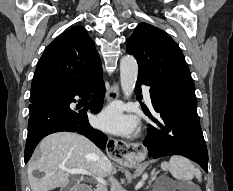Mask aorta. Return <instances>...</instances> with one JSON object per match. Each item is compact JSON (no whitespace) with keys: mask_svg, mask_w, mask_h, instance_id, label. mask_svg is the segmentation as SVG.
Wrapping results in <instances>:
<instances>
[{"mask_svg":"<svg viewBox=\"0 0 233 191\" xmlns=\"http://www.w3.org/2000/svg\"><path fill=\"white\" fill-rule=\"evenodd\" d=\"M138 76V64L133 56L127 55L120 61V82L125 98H129L134 89Z\"/></svg>","mask_w":233,"mask_h":191,"instance_id":"1","label":"aorta"}]
</instances>
